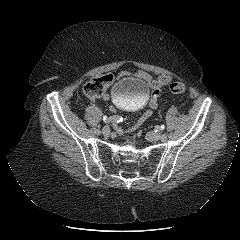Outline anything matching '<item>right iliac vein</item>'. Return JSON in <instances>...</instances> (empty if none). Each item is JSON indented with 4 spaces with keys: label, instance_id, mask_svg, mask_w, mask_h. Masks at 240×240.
Masks as SVG:
<instances>
[{
    "label": "right iliac vein",
    "instance_id": "63e3f726",
    "mask_svg": "<svg viewBox=\"0 0 240 240\" xmlns=\"http://www.w3.org/2000/svg\"><path fill=\"white\" fill-rule=\"evenodd\" d=\"M102 133H103L104 135H109V134H110V128H109L108 126H104V127L102 128Z\"/></svg>",
    "mask_w": 240,
    "mask_h": 240
}]
</instances>
